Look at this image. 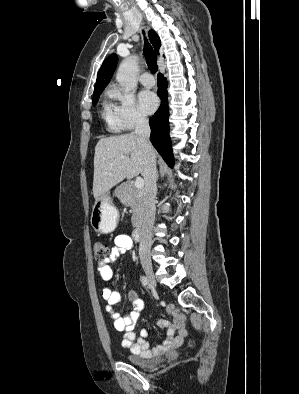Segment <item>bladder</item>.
<instances>
[{
	"label": "bladder",
	"mask_w": 299,
	"mask_h": 394,
	"mask_svg": "<svg viewBox=\"0 0 299 394\" xmlns=\"http://www.w3.org/2000/svg\"><path fill=\"white\" fill-rule=\"evenodd\" d=\"M126 360L132 365L140 368L155 367L158 363V359L145 358L138 354L129 353L126 355Z\"/></svg>",
	"instance_id": "1"
}]
</instances>
